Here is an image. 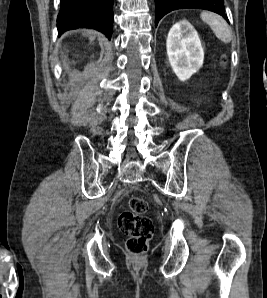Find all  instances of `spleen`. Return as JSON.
<instances>
[{"mask_svg":"<svg viewBox=\"0 0 267 298\" xmlns=\"http://www.w3.org/2000/svg\"><path fill=\"white\" fill-rule=\"evenodd\" d=\"M201 19L210 26L216 37L224 43H230L232 34L227 22L215 13L202 12Z\"/></svg>","mask_w":267,"mask_h":298,"instance_id":"3e777b00","label":"spleen"}]
</instances>
